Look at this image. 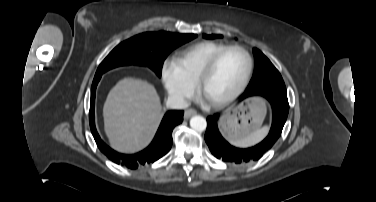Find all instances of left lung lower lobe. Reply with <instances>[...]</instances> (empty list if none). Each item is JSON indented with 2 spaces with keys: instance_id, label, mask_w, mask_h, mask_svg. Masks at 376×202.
Wrapping results in <instances>:
<instances>
[{
  "instance_id": "obj_1",
  "label": "left lung lower lobe",
  "mask_w": 376,
  "mask_h": 202,
  "mask_svg": "<svg viewBox=\"0 0 376 202\" xmlns=\"http://www.w3.org/2000/svg\"><path fill=\"white\" fill-rule=\"evenodd\" d=\"M254 95L263 96L271 104L273 119L268 136L261 143L257 144L254 147L246 149L235 148L222 137L218 130L217 122L221 114L209 116L207 118L205 141L211 153L216 158L221 159L225 162H233L237 164L256 161L260 159L265 154V152L271 149L280 137L289 111L287 95L278 94L272 91L257 93ZM247 97L249 96H242L239 101H242Z\"/></svg>"
}]
</instances>
